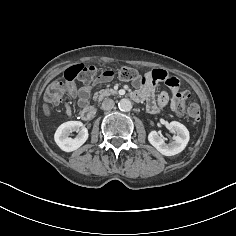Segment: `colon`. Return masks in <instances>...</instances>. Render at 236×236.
Returning <instances> with one entry per match:
<instances>
[{
  "label": "colon",
  "mask_w": 236,
  "mask_h": 236,
  "mask_svg": "<svg viewBox=\"0 0 236 236\" xmlns=\"http://www.w3.org/2000/svg\"><path fill=\"white\" fill-rule=\"evenodd\" d=\"M97 69L93 65H84L78 64L74 65L57 78L49 87L46 99L49 103L56 104L59 102L61 88L66 83H73L77 80L82 81L84 83H90L96 73ZM106 76L112 75L111 71L106 72ZM118 77L122 80H135L137 78V72L134 68L129 66H124L118 71ZM171 82L176 83L173 78H170L167 84H171ZM188 91H177L175 96L177 98V112L178 114H186L193 121H198L200 118V108L195 103L186 104V100L189 97Z\"/></svg>",
  "instance_id": "colon-1"
}]
</instances>
